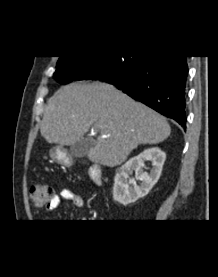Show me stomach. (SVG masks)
Returning <instances> with one entry per match:
<instances>
[{"instance_id": "0dacf381", "label": "stomach", "mask_w": 218, "mask_h": 277, "mask_svg": "<svg viewBox=\"0 0 218 277\" xmlns=\"http://www.w3.org/2000/svg\"><path fill=\"white\" fill-rule=\"evenodd\" d=\"M50 157L60 164L68 165L69 158L66 151L61 146H56L50 149Z\"/></svg>"}]
</instances>
